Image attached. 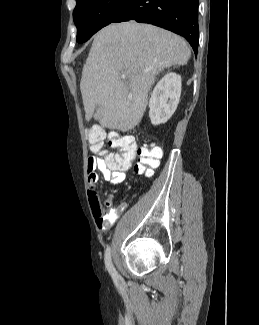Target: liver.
Listing matches in <instances>:
<instances>
[{
	"mask_svg": "<svg viewBox=\"0 0 259 325\" xmlns=\"http://www.w3.org/2000/svg\"><path fill=\"white\" fill-rule=\"evenodd\" d=\"M190 55L184 39L150 24L129 21L104 27L95 35L82 70L86 120L94 117L103 128L132 130L144 115L156 75L185 65Z\"/></svg>",
	"mask_w": 259,
	"mask_h": 325,
	"instance_id": "obj_1",
	"label": "liver"
}]
</instances>
